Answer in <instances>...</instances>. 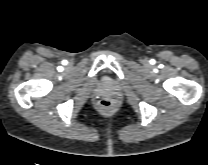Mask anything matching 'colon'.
Here are the masks:
<instances>
[{
    "instance_id": "colon-1",
    "label": "colon",
    "mask_w": 208,
    "mask_h": 165,
    "mask_svg": "<svg viewBox=\"0 0 208 165\" xmlns=\"http://www.w3.org/2000/svg\"><path fill=\"white\" fill-rule=\"evenodd\" d=\"M98 107L102 112L109 113L113 110L114 103L109 99H102L98 102Z\"/></svg>"
}]
</instances>
